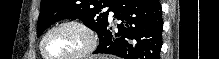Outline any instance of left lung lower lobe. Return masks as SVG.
Returning <instances> with one entry per match:
<instances>
[{"mask_svg":"<svg viewBox=\"0 0 219 59\" xmlns=\"http://www.w3.org/2000/svg\"><path fill=\"white\" fill-rule=\"evenodd\" d=\"M110 11L122 21L117 30L106 23L94 54L123 59H159L162 47V11L159 0H114Z\"/></svg>","mask_w":219,"mask_h":59,"instance_id":"1","label":"left lung lower lobe"}]
</instances>
